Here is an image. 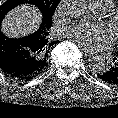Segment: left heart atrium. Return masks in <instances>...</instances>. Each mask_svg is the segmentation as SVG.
<instances>
[{
	"mask_svg": "<svg viewBox=\"0 0 118 118\" xmlns=\"http://www.w3.org/2000/svg\"><path fill=\"white\" fill-rule=\"evenodd\" d=\"M65 36L86 50H98L109 46L113 37L101 25L77 24L65 30Z\"/></svg>",
	"mask_w": 118,
	"mask_h": 118,
	"instance_id": "left-heart-atrium-1",
	"label": "left heart atrium"
}]
</instances>
